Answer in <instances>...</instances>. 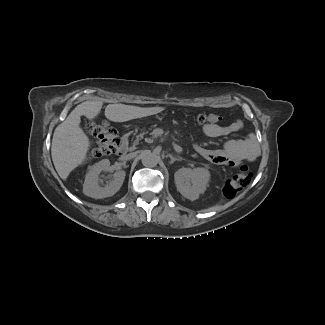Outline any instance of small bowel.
Wrapping results in <instances>:
<instances>
[{
    "label": "small bowel",
    "mask_w": 325,
    "mask_h": 325,
    "mask_svg": "<svg viewBox=\"0 0 325 325\" xmlns=\"http://www.w3.org/2000/svg\"><path fill=\"white\" fill-rule=\"evenodd\" d=\"M203 133L207 137L218 138L235 134L242 128V122L235 120L228 125H222L210 120L201 124ZM198 153L212 163L218 165L233 164L242 160H252L255 157V151L241 139L227 140L220 150H210L203 147H196Z\"/></svg>",
    "instance_id": "obj_1"
}]
</instances>
